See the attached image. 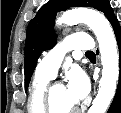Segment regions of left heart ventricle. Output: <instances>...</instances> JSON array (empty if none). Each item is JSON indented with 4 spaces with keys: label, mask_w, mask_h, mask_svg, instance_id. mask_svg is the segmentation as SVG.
I'll return each instance as SVG.
<instances>
[{
    "label": "left heart ventricle",
    "mask_w": 121,
    "mask_h": 113,
    "mask_svg": "<svg viewBox=\"0 0 121 113\" xmlns=\"http://www.w3.org/2000/svg\"><path fill=\"white\" fill-rule=\"evenodd\" d=\"M53 111L56 113H67L76 108V103L71 98L66 87L55 85L52 91Z\"/></svg>",
    "instance_id": "b2bd125f"
}]
</instances>
